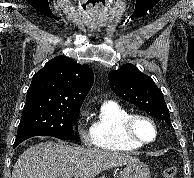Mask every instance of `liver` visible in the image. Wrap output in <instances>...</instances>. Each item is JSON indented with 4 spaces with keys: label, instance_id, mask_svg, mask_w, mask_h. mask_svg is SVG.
<instances>
[{
    "label": "liver",
    "instance_id": "1",
    "mask_svg": "<svg viewBox=\"0 0 194 178\" xmlns=\"http://www.w3.org/2000/svg\"><path fill=\"white\" fill-rule=\"evenodd\" d=\"M116 151L73 147L65 142H41L30 146L16 161L12 178H94L104 170L138 162Z\"/></svg>",
    "mask_w": 194,
    "mask_h": 178
}]
</instances>
